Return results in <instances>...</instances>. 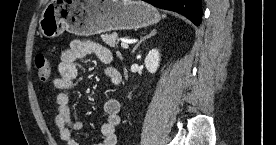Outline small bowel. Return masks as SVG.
<instances>
[{
	"instance_id": "1",
	"label": "small bowel",
	"mask_w": 276,
	"mask_h": 145,
	"mask_svg": "<svg viewBox=\"0 0 276 145\" xmlns=\"http://www.w3.org/2000/svg\"><path fill=\"white\" fill-rule=\"evenodd\" d=\"M89 54H95L105 64L113 61V54L109 49L90 40H74L62 52L61 61L58 65L59 77L53 81V85L57 89L55 124L60 139L66 145H78L72 131L80 130L83 127L82 120L73 118L70 107V92L78 77V61ZM104 75L109 81L116 82L119 72L113 67H107L104 70ZM120 111L121 105L116 98H108L105 101L104 112L107 119L101 126L102 141L99 145L117 144L115 128L121 122Z\"/></svg>"
}]
</instances>
